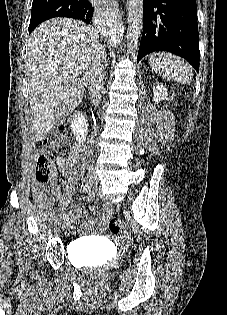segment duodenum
I'll use <instances>...</instances> for the list:
<instances>
[{
    "label": "duodenum",
    "mask_w": 227,
    "mask_h": 315,
    "mask_svg": "<svg viewBox=\"0 0 227 315\" xmlns=\"http://www.w3.org/2000/svg\"><path fill=\"white\" fill-rule=\"evenodd\" d=\"M73 131L79 143H84L88 131V120L84 113L75 112L73 115Z\"/></svg>",
    "instance_id": "410a0bca"
}]
</instances>
